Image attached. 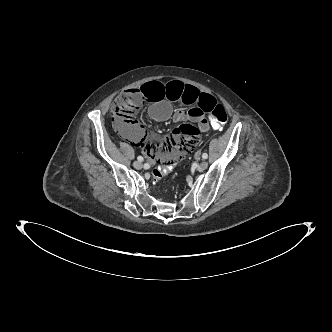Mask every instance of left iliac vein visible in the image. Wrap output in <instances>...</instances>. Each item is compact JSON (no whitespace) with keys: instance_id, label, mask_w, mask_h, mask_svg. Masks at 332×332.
Wrapping results in <instances>:
<instances>
[{"instance_id":"1","label":"left iliac vein","mask_w":332,"mask_h":332,"mask_svg":"<svg viewBox=\"0 0 332 332\" xmlns=\"http://www.w3.org/2000/svg\"><path fill=\"white\" fill-rule=\"evenodd\" d=\"M208 167V162L207 161H202L198 164L197 169L198 170H205Z\"/></svg>"}]
</instances>
